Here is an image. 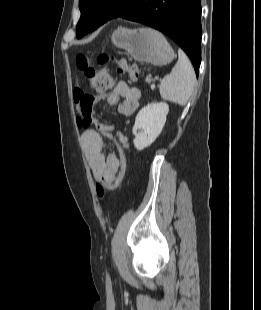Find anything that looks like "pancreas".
<instances>
[{
    "mask_svg": "<svg viewBox=\"0 0 261 310\" xmlns=\"http://www.w3.org/2000/svg\"><path fill=\"white\" fill-rule=\"evenodd\" d=\"M150 81H151V77L149 76L146 78V82H150Z\"/></svg>",
    "mask_w": 261,
    "mask_h": 310,
    "instance_id": "cf45deb5",
    "label": "pancreas"
}]
</instances>
